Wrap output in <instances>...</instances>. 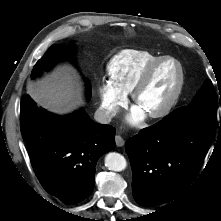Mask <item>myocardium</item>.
Instances as JSON below:
<instances>
[{"mask_svg": "<svg viewBox=\"0 0 221 221\" xmlns=\"http://www.w3.org/2000/svg\"><path fill=\"white\" fill-rule=\"evenodd\" d=\"M172 61L174 62L178 67V81L176 88L170 97V99L159 109L147 113L149 117L151 118H162L168 115L172 109L176 106L178 103L183 89L185 85V70L182 65V63L175 57L172 56H162L156 60H154L144 71L141 78L136 83L135 87L133 88L131 92L132 100L135 104H137L138 98L142 91L147 87L149 84L155 70L164 62Z\"/></svg>", "mask_w": 221, "mask_h": 221, "instance_id": "f54148a6", "label": "myocardium"}]
</instances>
